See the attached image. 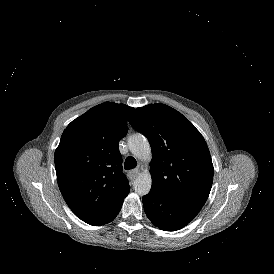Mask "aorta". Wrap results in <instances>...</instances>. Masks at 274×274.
Returning a JSON list of instances; mask_svg holds the SVG:
<instances>
[{
  "label": "aorta",
  "instance_id": "762f6f07",
  "mask_svg": "<svg viewBox=\"0 0 274 274\" xmlns=\"http://www.w3.org/2000/svg\"><path fill=\"white\" fill-rule=\"evenodd\" d=\"M128 147L133 155L141 160L150 161L151 148L144 135L138 133L128 138ZM152 186V178L149 172L140 174L133 183L134 191L140 195H147Z\"/></svg>",
  "mask_w": 274,
  "mask_h": 274
}]
</instances>
